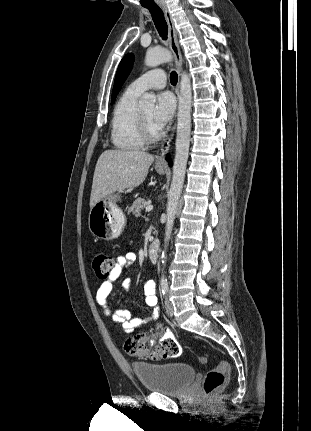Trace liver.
<instances>
[{"mask_svg": "<svg viewBox=\"0 0 311 431\" xmlns=\"http://www.w3.org/2000/svg\"><path fill=\"white\" fill-rule=\"evenodd\" d=\"M155 156L140 150H106L96 166L90 196V208L102 198L132 190L143 184Z\"/></svg>", "mask_w": 311, "mask_h": 431, "instance_id": "1", "label": "liver"}]
</instances>
